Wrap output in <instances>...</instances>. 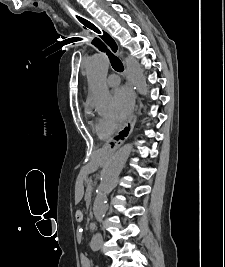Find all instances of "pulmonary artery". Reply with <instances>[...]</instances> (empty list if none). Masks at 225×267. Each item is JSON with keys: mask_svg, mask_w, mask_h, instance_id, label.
<instances>
[{"mask_svg": "<svg viewBox=\"0 0 225 267\" xmlns=\"http://www.w3.org/2000/svg\"><path fill=\"white\" fill-rule=\"evenodd\" d=\"M120 82V79L117 75L115 74H111L108 76L107 78V84L110 86V87H115L119 84Z\"/></svg>", "mask_w": 225, "mask_h": 267, "instance_id": "obj_1", "label": "pulmonary artery"}]
</instances>
